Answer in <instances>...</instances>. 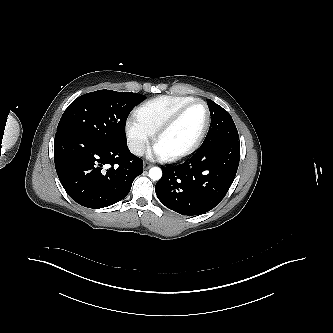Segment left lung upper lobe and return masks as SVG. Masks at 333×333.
<instances>
[{
  "label": "left lung upper lobe",
  "instance_id": "obj_1",
  "mask_svg": "<svg viewBox=\"0 0 333 333\" xmlns=\"http://www.w3.org/2000/svg\"><path fill=\"white\" fill-rule=\"evenodd\" d=\"M207 104L211 114V124L202 145L220 138L239 139L238 131L231 115L225 109H223L221 106H219L210 99H207Z\"/></svg>",
  "mask_w": 333,
  "mask_h": 333
}]
</instances>
